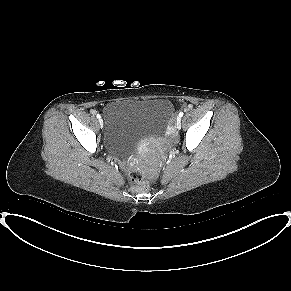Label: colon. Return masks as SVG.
I'll return each instance as SVG.
<instances>
[{
    "mask_svg": "<svg viewBox=\"0 0 291 291\" xmlns=\"http://www.w3.org/2000/svg\"><path fill=\"white\" fill-rule=\"evenodd\" d=\"M128 176L135 189H145L147 187L146 181L139 172L132 170L129 172Z\"/></svg>",
    "mask_w": 291,
    "mask_h": 291,
    "instance_id": "colon-1",
    "label": "colon"
}]
</instances>
